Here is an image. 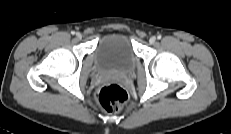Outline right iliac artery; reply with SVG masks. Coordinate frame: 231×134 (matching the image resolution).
I'll use <instances>...</instances> for the list:
<instances>
[{"instance_id":"1","label":"right iliac artery","mask_w":231,"mask_h":134,"mask_svg":"<svg viewBox=\"0 0 231 134\" xmlns=\"http://www.w3.org/2000/svg\"><path fill=\"white\" fill-rule=\"evenodd\" d=\"M71 34L74 35V34H75V31H72Z\"/></svg>"}]
</instances>
